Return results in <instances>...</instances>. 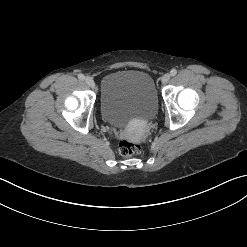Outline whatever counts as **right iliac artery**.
Segmentation results:
<instances>
[{"instance_id": "right-iliac-artery-1", "label": "right iliac artery", "mask_w": 247, "mask_h": 247, "mask_svg": "<svg viewBox=\"0 0 247 247\" xmlns=\"http://www.w3.org/2000/svg\"><path fill=\"white\" fill-rule=\"evenodd\" d=\"M78 78H79L80 80H84V79H85V76H84L83 74H78Z\"/></svg>"}]
</instances>
